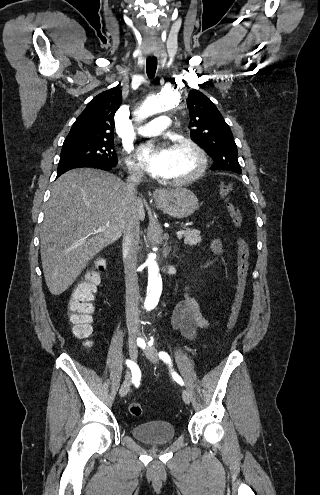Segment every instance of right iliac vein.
<instances>
[{
	"label": "right iliac vein",
	"instance_id": "1",
	"mask_svg": "<svg viewBox=\"0 0 320 495\" xmlns=\"http://www.w3.org/2000/svg\"><path fill=\"white\" fill-rule=\"evenodd\" d=\"M128 353H129V357H130L131 361H135L137 359L138 351H137V347H136V343H135V336L132 334H130L129 338H128ZM131 379H132V374H131V371L128 370L126 373L124 383L122 384L120 391H119V395L121 397L126 396L127 393L129 392V389L131 386Z\"/></svg>",
	"mask_w": 320,
	"mask_h": 495
}]
</instances>
